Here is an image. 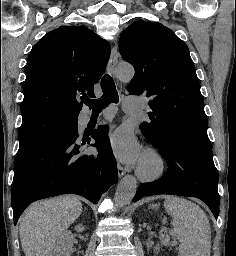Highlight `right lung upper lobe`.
Here are the masks:
<instances>
[{
	"instance_id": "obj_1",
	"label": "right lung upper lobe",
	"mask_w": 236,
	"mask_h": 256,
	"mask_svg": "<svg viewBox=\"0 0 236 256\" xmlns=\"http://www.w3.org/2000/svg\"><path fill=\"white\" fill-rule=\"evenodd\" d=\"M110 45L84 26H62L45 35L31 50L25 67L22 118L55 112L78 118L79 98L95 97Z\"/></svg>"
}]
</instances>
